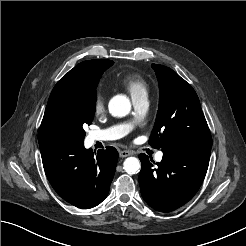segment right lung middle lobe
I'll list each match as a JSON object with an SVG mask.
<instances>
[{"label":"right lung middle lobe","instance_id":"right-lung-middle-lobe-1","mask_svg":"<svg viewBox=\"0 0 246 246\" xmlns=\"http://www.w3.org/2000/svg\"><path fill=\"white\" fill-rule=\"evenodd\" d=\"M112 64L113 61L108 60L95 65L89 72L87 81L79 89L59 99L51 126L52 136L84 139L83 124L90 125L93 121L99 79Z\"/></svg>","mask_w":246,"mask_h":246}]
</instances>
